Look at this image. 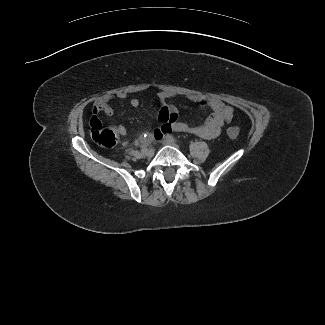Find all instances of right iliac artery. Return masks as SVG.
<instances>
[{"instance_id": "right-iliac-artery-1", "label": "right iliac artery", "mask_w": 325, "mask_h": 325, "mask_svg": "<svg viewBox=\"0 0 325 325\" xmlns=\"http://www.w3.org/2000/svg\"><path fill=\"white\" fill-rule=\"evenodd\" d=\"M146 151H147V147L143 146L142 149H141V152L144 154Z\"/></svg>"}]
</instances>
